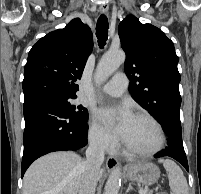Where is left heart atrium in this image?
I'll return each mask as SVG.
<instances>
[{"label": "left heart atrium", "mask_w": 201, "mask_h": 194, "mask_svg": "<svg viewBox=\"0 0 201 194\" xmlns=\"http://www.w3.org/2000/svg\"><path fill=\"white\" fill-rule=\"evenodd\" d=\"M96 114L106 128L122 138L126 137L129 126L134 118L127 105L100 108Z\"/></svg>", "instance_id": "left-heart-atrium-1"}]
</instances>
